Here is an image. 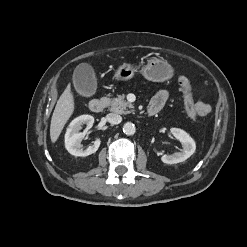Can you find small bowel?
<instances>
[{"instance_id":"c3829d8e","label":"small bowel","mask_w":247,"mask_h":247,"mask_svg":"<svg viewBox=\"0 0 247 247\" xmlns=\"http://www.w3.org/2000/svg\"><path fill=\"white\" fill-rule=\"evenodd\" d=\"M170 98V92L168 90H160L156 93V95L152 98L149 108L156 110L157 113L164 107L165 103ZM197 108L200 111V116H205L210 111V106L199 100L196 103Z\"/></svg>"}]
</instances>
